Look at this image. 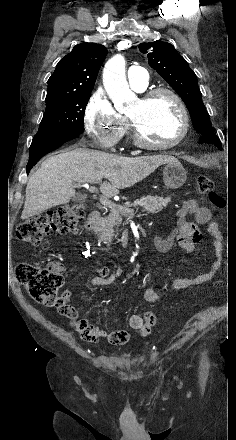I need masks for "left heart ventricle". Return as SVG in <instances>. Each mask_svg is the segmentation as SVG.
I'll list each match as a JSON object with an SVG mask.
<instances>
[{
    "mask_svg": "<svg viewBox=\"0 0 236 440\" xmlns=\"http://www.w3.org/2000/svg\"><path fill=\"white\" fill-rule=\"evenodd\" d=\"M128 115L136 123L142 136L151 143H169L181 131L180 113L168 95L156 96L148 102L138 99Z\"/></svg>",
    "mask_w": 236,
    "mask_h": 440,
    "instance_id": "b2bd125f",
    "label": "left heart ventricle"
}]
</instances>
